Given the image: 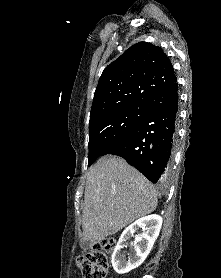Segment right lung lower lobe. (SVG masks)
<instances>
[{
    "mask_svg": "<svg viewBox=\"0 0 221 278\" xmlns=\"http://www.w3.org/2000/svg\"><path fill=\"white\" fill-rule=\"evenodd\" d=\"M178 100L176 81L151 94L146 100L148 111L144 117L101 155L121 156L153 183L165 180L176 138Z\"/></svg>",
    "mask_w": 221,
    "mask_h": 278,
    "instance_id": "right-lung-lower-lobe-1",
    "label": "right lung lower lobe"
}]
</instances>
